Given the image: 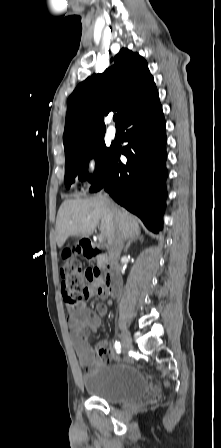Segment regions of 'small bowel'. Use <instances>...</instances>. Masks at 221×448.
Returning a JSON list of instances; mask_svg holds the SVG:
<instances>
[{"mask_svg":"<svg viewBox=\"0 0 221 448\" xmlns=\"http://www.w3.org/2000/svg\"><path fill=\"white\" fill-rule=\"evenodd\" d=\"M94 293L101 298L107 296L100 281L89 283L85 297L77 305L66 304L69 312L67 323L70 330V341L77 352L80 363L88 371L95 370L102 361L120 360V357L109 348L93 349L86 339L89 332H97L101 329V317L105 316L108 311L105 304H99L96 311L88 307L89 298Z\"/></svg>","mask_w":221,"mask_h":448,"instance_id":"obj_1","label":"small bowel"}]
</instances>
